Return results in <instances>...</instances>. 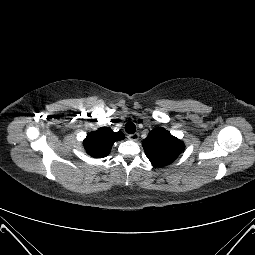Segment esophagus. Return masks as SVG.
I'll return each instance as SVG.
<instances>
[{
    "mask_svg": "<svg viewBox=\"0 0 255 255\" xmlns=\"http://www.w3.org/2000/svg\"><path fill=\"white\" fill-rule=\"evenodd\" d=\"M127 138L131 141H137L139 139V134L138 133L129 134Z\"/></svg>",
    "mask_w": 255,
    "mask_h": 255,
    "instance_id": "obj_1",
    "label": "esophagus"
}]
</instances>
